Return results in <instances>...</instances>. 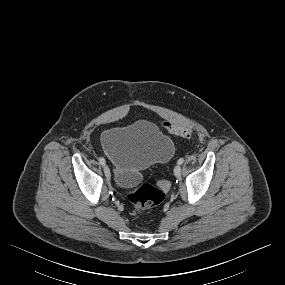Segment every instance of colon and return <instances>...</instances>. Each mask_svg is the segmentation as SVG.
<instances>
[{"label": "colon", "mask_w": 285, "mask_h": 285, "mask_svg": "<svg viewBox=\"0 0 285 285\" xmlns=\"http://www.w3.org/2000/svg\"><path fill=\"white\" fill-rule=\"evenodd\" d=\"M165 129L172 135L183 138H192L193 130L187 126L173 122H165ZM169 188L167 182L158 185L143 184L128 193V199L139 212L158 206L165 198V193Z\"/></svg>", "instance_id": "obj_1"}]
</instances>
